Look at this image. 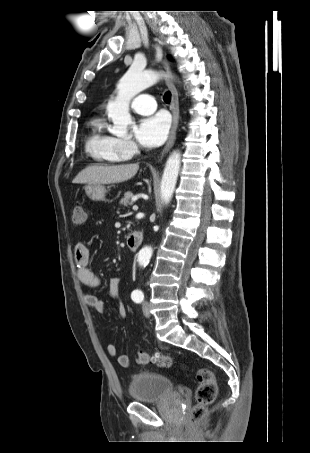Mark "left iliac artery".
<instances>
[{
    "mask_svg": "<svg viewBox=\"0 0 310 453\" xmlns=\"http://www.w3.org/2000/svg\"><path fill=\"white\" fill-rule=\"evenodd\" d=\"M131 298L136 303H141L144 299V294L141 290H134L131 294Z\"/></svg>",
    "mask_w": 310,
    "mask_h": 453,
    "instance_id": "1",
    "label": "left iliac artery"
}]
</instances>
